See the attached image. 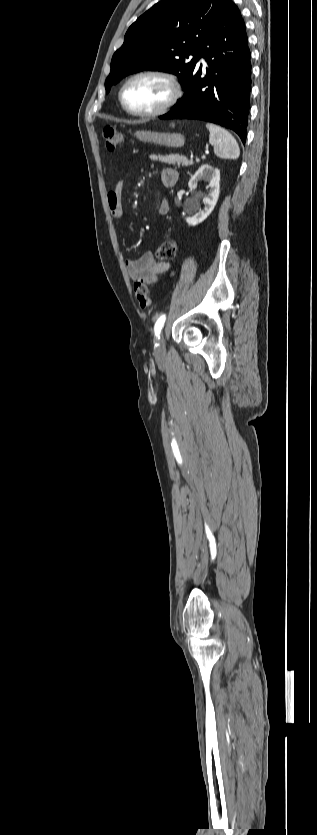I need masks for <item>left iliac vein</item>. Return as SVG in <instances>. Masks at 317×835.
Instances as JSON below:
<instances>
[{
	"mask_svg": "<svg viewBox=\"0 0 317 835\" xmlns=\"http://www.w3.org/2000/svg\"><path fill=\"white\" fill-rule=\"evenodd\" d=\"M154 351H155V356L156 357H162L165 354V339H164L163 334L161 335V337L156 342Z\"/></svg>",
	"mask_w": 317,
	"mask_h": 835,
	"instance_id": "obj_1",
	"label": "left iliac vein"
}]
</instances>
